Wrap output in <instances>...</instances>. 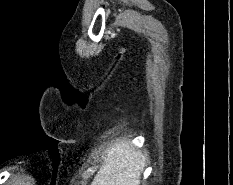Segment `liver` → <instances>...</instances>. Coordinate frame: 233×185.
Segmentation results:
<instances>
[{
    "mask_svg": "<svg viewBox=\"0 0 233 185\" xmlns=\"http://www.w3.org/2000/svg\"><path fill=\"white\" fill-rule=\"evenodd\" d=\"M106 153L90 185H140L144 153L125 141L115 142Z\"/></svg>",
    "mask_w": 233,
    "mask_h": 185,
    "instance_id": "liver-1",
    "label": "liver"
}]
</instances>
